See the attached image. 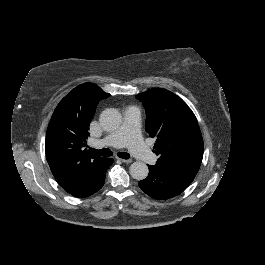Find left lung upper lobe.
Listing matches in <instances>:
<instances>
[{"label":"left lung upper lobe","mask_w":265,"mask_h":265,"mask_svg":"<svg viewBox=\"0 0 265 265\" xmlns=\"http://www.w3.org/2000/svg\"><path fill=\"white\" fill-rule=\"evenodd\" d=\"M146 109V131L156 138L155 166L197 173L203 157V139L192 110L166 89L136 95Z\"/></svg>","instance_id":"1"}]
</instances>
